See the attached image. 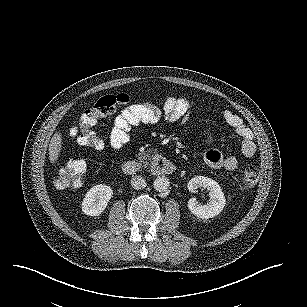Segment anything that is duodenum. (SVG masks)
<instances>
[{"instance_id":"1","label":"duodenum","mask_w":307,"mask_h":307,"mask_svg":"<svg viewBox=\"0 0 307 307\" xmlns=\"http://www.w3.org/2000/svg\"><path fill=\"white\" fill-rule=\"evenodd\" d=\"M175 165L166 158L156 157L151 161L149 171L152 175H167L172 174L175 171ZM122 170L129 176H134L140 171V164L136 161H125L122 165Z\"/></svg>"}]
</instances>
